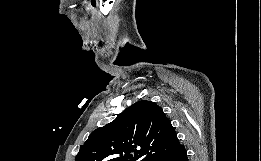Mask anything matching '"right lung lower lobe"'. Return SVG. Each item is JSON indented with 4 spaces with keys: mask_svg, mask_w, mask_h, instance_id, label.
<instances>
[{
    "mask_svg": "<svg viewBox=\"0 0 261 161\" xmlns=\"http://www.w3.org/2000/svg\"><path fill=\"white\" fill-rule=\"evenodd\" d=\"M149 161H188V158L184 146L179 144L170 151L153 156Z\"/></svg>",
    "mask_w": 261,
    "mask_h": 161,
    "instance_id": "98d812e1",
    "label": "right lung lower lobe"
}]
</instances>
